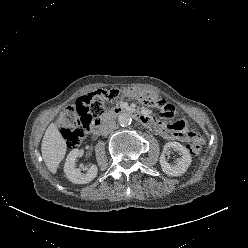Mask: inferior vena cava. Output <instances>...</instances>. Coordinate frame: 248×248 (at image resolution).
<instances>
[{
    "mask_svg": "<svg viewBox=\"0 0 248 248\" xmlns=\"http://www.w3.org/2000/svg\"><path fill=\"white\" fill-rule=\"evenodd\" d=\"M115 126H116L115 121H113V120L105 121V122L101 125V134H102V135H107V134H109L110 132H112V131L114 130Z\"/></svg>",
    "mask_w": 248,
    "mask_h": 248,
    "instance_id": "602c4592",
    "label": "inferior vena cava"
}]
</instances>
